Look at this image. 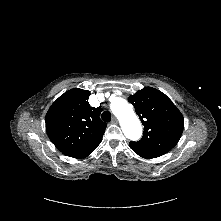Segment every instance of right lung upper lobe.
<instances>
[{"label": "right lung upper lobe", "instance_id": "obj_1", "mask_svg": "<svg viewBox=\"0 0 221 221\" xmlns=\"http://www.w3.org/2000/svg\"><path fill=\"white\" fill-rule=\"evenodd\" d=\"M89 95L90 91L71 89L51 105L45 117L51 142L69 157L84 158L91 154L107 126L99 117L101 108L90 106Z\"/></svg>", "mask_w": 221, "mask_h": 221}]
</instances>
